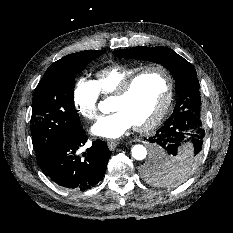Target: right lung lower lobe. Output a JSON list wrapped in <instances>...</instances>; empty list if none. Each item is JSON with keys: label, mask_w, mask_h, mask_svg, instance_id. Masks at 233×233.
Listing matches in <instances>:
<instances>
[{"label": "right lung lower lobe", "mask_w": 233, "mask_h": 233, "mask_svg": "<svg viewBox=\"0 0 233 233\" xmlns=\"http://www.w3.org/2000/svg\"><path fill=\"white\" fill-rule=\"evenodd\" d=\"M86 142L87 135L81 127L66 135L41 167L44 174L70 189L84 191L95 186L102 179L112 152L106 142L96 140L80 157L77 150Z\"/></svg>", "instance_id": "obj_1"}]
</instances>
